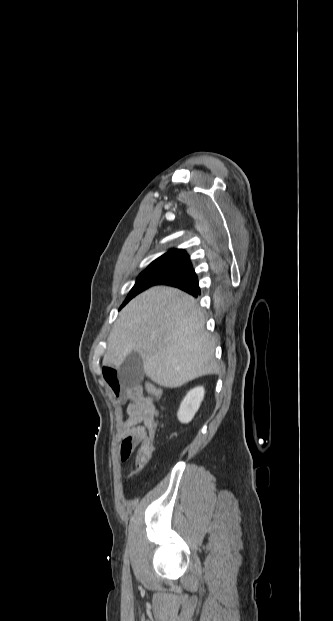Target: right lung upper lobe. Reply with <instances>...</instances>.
<instances>
[{"label":"right lung upper lobe","instance_id":"1","mask_svg":"<svg viewBox=\"0 0 333 621\" xmlns=\"http://www.w3.org/2000/svg\"><path fill=\"white\" fill-rule=\"evenodd\" d=\"M167 258H178V259H189V255L182 249H172L168 252H166L165 254H163L162 256H160L158 259H167Z\"/></svg>","mask_w":333,"mask_h":621}]
</instances>
